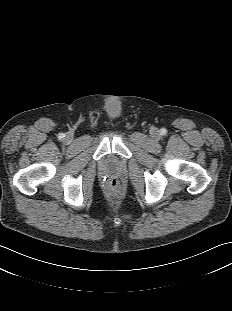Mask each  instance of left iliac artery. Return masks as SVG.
<instances>
[{
    "instance_id": "1",
    "label": "left iliac artery",
    "mask_w": 232,
    "mask_h": 311,
    "mask_svg": "<svg viewBox=\"0 0 232 311\" xmlns=\"http://www.w3.org/2000/svg\"><path fill=\"white\" fill-rule=\"evenodd\" d=\"M166 132H167V130H166L165 128L161 129V134H162V135H165Z\"/></svg>"
}]
</instances>
